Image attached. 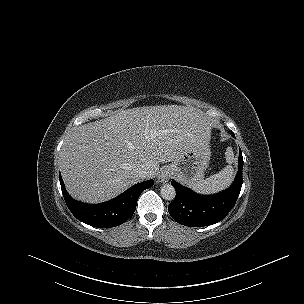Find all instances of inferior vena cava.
<instances>
[{
    "mask_svg": "<svg viewBox=\"0 0 304 304\" xmlns=\"http://www.w3.org/2000/svg\"><path fill=\"white\" fill-rule=\"evenodd\" d=\"M135 174L137 175V177L139 178V180H144V179H148L150 174L149 172L142 168V167H139L135 170Z\"/></svg>",
    "mask_w": 304,
    "mask_h": 304,
    "instance_id": "obj_1",
    "label": "inferior vena cava"
}]
</instances>
